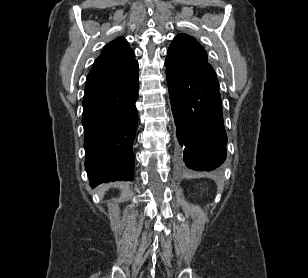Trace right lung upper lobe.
Returning a JSON list of instances; mask_svg holds the SVG:
<instances>
[{
	"mask_svg": "<svg viewBox=\"0 0 308 278\" xmlns=\"http://www.w3.org/2000/svg\"><path fill=\"white\" fill-rule=\"evenodd\" d=\"M128 42L119 37L105 45L90 70L85 93L116 89L138 74V63Z\"/></svg>",
	"mask_w": 308,
	"mask_h": 278,
	"instance_id": "right-lung-upper-lobe-1",
	"label": "right lung upper lobe"
}]
</instances>
